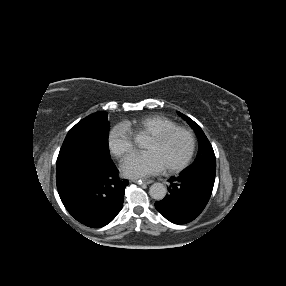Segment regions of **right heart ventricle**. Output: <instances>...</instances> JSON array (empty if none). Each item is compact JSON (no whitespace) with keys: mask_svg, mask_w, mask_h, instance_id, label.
I'll return each instance as SVG.
<instances>
[{"mask_svg":"<svg viewBox=\"0 0 286 286\" xmlns=\"http://www.w3.org/2000/svg\"><path fill=\"white\" fill-rule=\"evenodd\" d=\"M123 126L135 136L140 134L153 135L155 133L179 127V125L164 116L151 115L133 121L124 122Z\"/></svg>","mask_w":286,"mask_h":286,"instance_id":"1","label":"right heart ventricle"}]
</instances>
